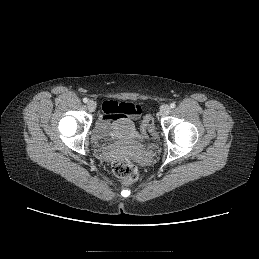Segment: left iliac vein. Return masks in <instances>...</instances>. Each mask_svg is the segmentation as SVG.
I'll list each match as a JSON object with an SVG mask.
<instances>
[{"label": "left iliac vein", "instance_id": "left-iliac-vein-1", "mask_svg": "<svg viewBox=\"0 0 259 259\" xmlns=\"http://www.w3.org/2000/svg\"><path fill=\"white\" fill-rule=\"evenodd\" d=\"M170 113V106L169 105H162L160 109V114L162 116H167Z\"/></svg>", "mask_w": 259, "mask_h": 259}]
</instances>
